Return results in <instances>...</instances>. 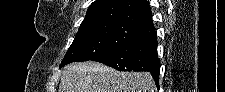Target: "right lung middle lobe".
I'll list each match as a JSON object with an SVG mask.
<instances>
[{
    "mask_svg": "<svg viewBox=\"0 0 225 92\" xmlns=\"http://www.w3.org/2000/svg\"><path fill=\"white\" fill-rule=\"evenodd\" d=\"M143 34L141 30L122 23L81 25L60 67L72 62L91 60Z\"/></svg>",
    "mask_w": 225,
    "mask_h": 92,
    "instance_id": "right-lung-middle-lobe-1",
    "label": "right lung middle lobe"
}]
</instances>
